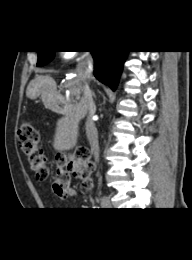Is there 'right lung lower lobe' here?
Listing matches in <instances>:
<instances>
[{
  "mask_svg": "<svg viewBox=\"0 0 192 260\" xmlns=\"http://www.w3.org/2000/svg\"><path fill=\"white\" fill-rule=\"evenodd\" d=\"M94 58V75L115 90L128 51H91Z\"/></svg>",
  "mask_w": 192,
  "mask_h": 260,
  "instance_id": "obj_1",
  "label": "right lung lower lobe"
}]
</instances>
